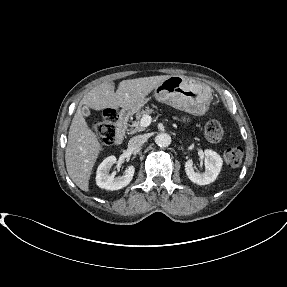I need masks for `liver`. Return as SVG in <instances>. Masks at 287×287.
<instances>
[{"label": "liver", "instance_id": "1", "mask_svg": "<svg viewBox=\"0 0 287 287\" xmlns=\"http://www.w3.org/2000/svg\"><path fill=\"white\" fill-rule=\"evenodd\" d=\"M169 77L161 75L123 80L116 92L113 82H105L82 98L69 129L65 150L67 172L81 190L89 191L90 176L101 150L97 136L84 119L82 108L86 106L99 111L106 108L141 107L147 95Z\"/></svg>", "mask_w": 287, "mask_h": 287}]
</instances>
